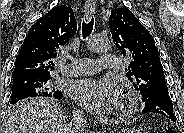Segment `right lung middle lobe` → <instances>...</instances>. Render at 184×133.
Here are the masks:
<instances>
[{
	"mask_svg": "<svg viewBox=\"0 0 184 133\" xmlns=\"http://www.w3.org/2000/svg\"><path fill=\"white\" fill-rule=\"evenodd\" d=\"M51 79L50 75H19L13 77L10 103L15 104L19 100L28 97H52L60 94L61 91L56 90L50 85Z\"/></svg>",
	"mask_w": 184,
	"mask_h": 133,
	"instance_id": "obj_1",
	"label": "right lung middle lobe"
}]
</instances>
